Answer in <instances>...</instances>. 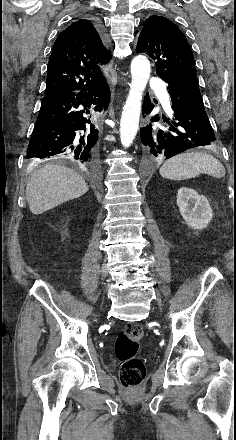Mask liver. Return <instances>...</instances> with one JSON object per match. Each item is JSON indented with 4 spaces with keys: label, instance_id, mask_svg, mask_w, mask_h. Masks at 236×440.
I'll list each match as a JSON object with an SVG mask.
<instances>
[{
    "label": "liver",
    "instance_id": "1",
    "mask_svg": "<svg viewBox=\"0 0 236 440\" xmlns=\"http://www.w3.org/2000/svg\"><path fill=\"white\" fill-rule=\"evenodd\" d=\"M85 180L75 171L60 165L36 170L26 186V200L32 214L39 215L88 191Z\"/></svg>",
    "mask_w": 236,
    "mask_h": 440
}]
</instances>
